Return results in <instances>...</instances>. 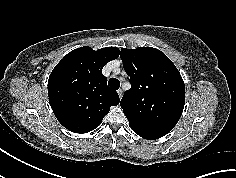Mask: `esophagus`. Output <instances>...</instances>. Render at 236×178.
Here are the masks:
<instances>
[{"label": "esophagus", "mask_w": 236, "mask_h": 178, "mask_svg": "<svg viewBox=\"0 0 236 178\" xmlns=\"http://www.w3.org/2000/svg\"><path fill=\"white\" fill-rule=\"evenodd\" d=\"M117 93H118V96H119V98L121 99L122 98V90L121 89H119V90H117Z\"/></svg>", "instance_id": "34e87169"}]
</instances>
